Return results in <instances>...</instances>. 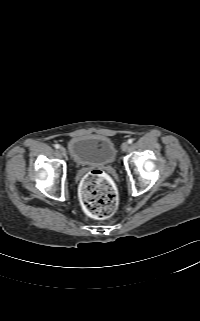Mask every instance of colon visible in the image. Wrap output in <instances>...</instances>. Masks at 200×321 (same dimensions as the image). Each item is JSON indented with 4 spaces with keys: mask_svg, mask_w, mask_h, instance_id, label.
Returning <instances> with one entry per match:
<instances>
[{
    "mask_svg": "<svg viewBox=\"0 0 200 321\" xmlns=\"http://www.w3.org/2000/svg\"><path fill=\"white\" fill-rule=\"evenodd\" d=\"M80 197L86 212L97 219L110 217L118 206L117 193L101 170H93L84 177L80 186Z\"/></svg>",
    "mask_w": 200,
    "mask_h": 321,
    "instance_id": "colon-1",
    "label": "colon"
}]
</instances>
